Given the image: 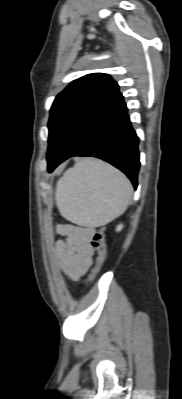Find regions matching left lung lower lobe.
Masks as SVG:
<instances>
[{
  "label": "left lung lower lobe",
  "mask_w": 182,
  "mask_h": 399,
  "mask_svg": "<svg viewBox=\"0 0 182 399\" xmlns=\"http://www.w3.org/2000/svg\"><path fill=\"white\" fill-rule=\"evenodd\" d=\"M138 137L132 129L123 96L118 93L90 114L62 153L48 163V171L73 156H92L114 165L137 188L140 167Z\"/></svg>",
  "instance_id": "left-lung-lower-lobe-1"
}]
</instances>
